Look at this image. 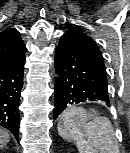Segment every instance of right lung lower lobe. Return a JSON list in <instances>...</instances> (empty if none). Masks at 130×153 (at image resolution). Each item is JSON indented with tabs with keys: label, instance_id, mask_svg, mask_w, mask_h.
I'll return each instance as SVG.
<instances>
[{
	"label": "right lung lower lobe",
	"instance_id": "obj_1",
	"mask_svg": "<svg viewBox=\"0 0 130 153\" xmlns=\"http://www.w3.org/2000/svg\"><path fill=\"white\" fill-rule=\"evenodd\" d=\"M24 62L25 56L17 61L0 65V126L12 132L17 140Z\"/></svg>",
	"mask_w": 130,
	"mask_h": 153
}]
</instances>
